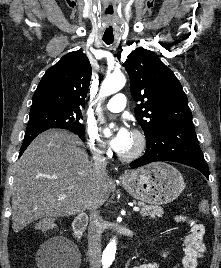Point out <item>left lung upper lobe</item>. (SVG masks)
I'll return each instance as SVG.
<instances>
[{"label":"left lung upper lobe","instance_id":"5c2ea615","mask_svg":"<svg viewBox=\"0 0 221 268\" xmlns=\"http://www.w3.org/2000/svg\"><path fill=\"white\" fill-rule=\"evenodd\" d=\"M135 116L146 140L174 126H192L188 99L174 73L150 50L137 48L125 61Z\"/></svg>","mask_w":221,"mask_h":268}]
</instances>
